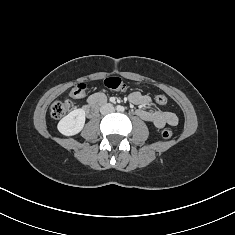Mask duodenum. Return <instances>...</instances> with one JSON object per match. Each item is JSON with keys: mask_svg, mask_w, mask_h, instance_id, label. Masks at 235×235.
Instances as JSON below:
<instances>
[{"mask_svg": "<svg viewBox=\"0 0 235 235\" xmlns=\"http://www.w3.org/2000/svg\"><path fill=\"white\" fill-rule=\"evenodd\" d=\"M103 103H94L90 104L86 109L85 112L88 117L92 118L96 115L98 110L102 107Z\"/></svg>", "mask_w": 235, "mask_h": 235, "instance_id": "410a0bca", "label": "duodenum"}]
</instances>
